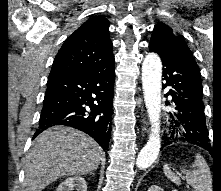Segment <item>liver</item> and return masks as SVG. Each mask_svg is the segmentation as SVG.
I'll use <instances>...</instances> for the list:
<instances>
[{
	"instance_id": "1",
	"label": "liver",
	"mask_w": 221,
	"mask_h": 191,
	"mask_svg": "<svg viewBox=\"0 0 221 191\" xmlns=\"http://www.w3.org/2000/svg\"><path fill=\"white\" fill-rule=\"evenodd\" d=\"M102 155L85 133L66 126L49 128L33 141L26 156L25 191H41L62 176L93 172Z\"/></svg>"
}]
</instances>
